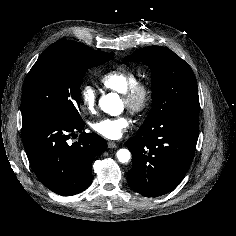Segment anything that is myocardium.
Wrapping results in <instances>:
<instances>
[{
	"label": "myocardium",
	"mask_w": 236,
	"mask_h": 236,
	"mask_svg": "<svg viewBox=\"0 0 236 236\" xmlns=\"http://www.w3.org/2000/svg\"><path fill=\"white\" fill-rule=\"evenodd\" d=\"M153 97L152 86L148 81H135L124 93L122 100L125 107L134 114L148 109Z\"/></svg>",
	"instance_id": "obj_1"
}]
</instances>
